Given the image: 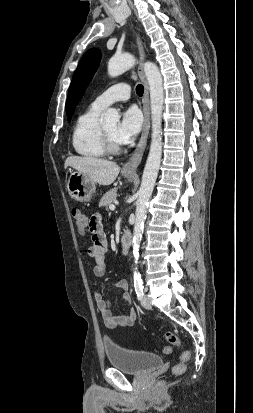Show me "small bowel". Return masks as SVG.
<instances>
[{
  "mask_svg": "<svg viewBox=\"0 0 253 413\" xmlns=\"http://www.w3.org/2000/svg\"><path fill=\"white\" fill-rule=\"evenodd\" d=\"M88 228L91 233L92 245L88 248L89 257L94 260L93 273L96 277H102L106 273L107 265L105 256L107 253L108 243L103 230L102 217L96 213L91 216L88 222ZM116 288L124 291V299L129 301V283L126 279H121L116 283ZM94 300L99 310L104 324L108 328L131 327L135 324L137 313L130 309L128 314L122 316H113L111 313V300L105 299L100 291H94Z\"/></svg>",
  "mask_w": 253,
  "mask_h": 413,
  "instance_id": "small-bowel-1",
  "label": "small bowel"
}]
</instances>
